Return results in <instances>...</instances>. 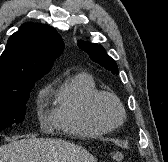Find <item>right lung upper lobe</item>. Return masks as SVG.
Instances as JSON below:
<instances>
[{
	"instance_id": "obj_1",
	"label": "right lung upper lobe",
	"mask_w": 168,
	"mask_h": 162,
	"mask_svg": "<svg viewBox=\"0 0 168 162\" xmlns=\"http://www.w3.org/2000/svg\"><path fill=\"white\" fill-rule=\"evenodd\" d=\"M63 41L52 27L27 23L10 36L0 56V89L25 80H38L53 66Z\"/></svg>"
}]
</instances>
